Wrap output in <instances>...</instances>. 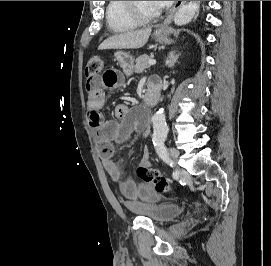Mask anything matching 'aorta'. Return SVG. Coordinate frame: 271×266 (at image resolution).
Wrapping results in <instances>:
<instances>
[{
    "mask_svg": "<svg viewBox=\"0 0 271 266\" xmlns=\"http://www.w3.org/2000/svg\"><path fill=\"white\" fill-rule=\"evenodd\" d=\"M200 1H190L181 6L174 15V23L178 26L189 23L195 16ZM153 139L164 140L168 134V127L165 121L164 110L161 108L157 111L153 118Z\"/></svg>",
    "mask_w": 271,
    "mask_h": 266,
    "instance_id": "762f6f07",
    "label": "aorta"
}]
</instances>
